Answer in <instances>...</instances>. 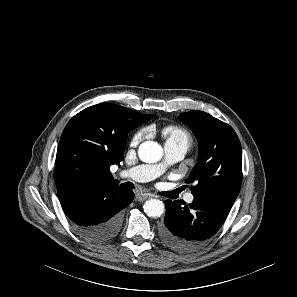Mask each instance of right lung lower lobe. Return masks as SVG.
I'll use <instances>...</instances> for the list:
<instances>
[{
  "instance_id": "1",
  "label": "right lung lower lobe",
  "mask_w": 297,
  "mask_h": 297,
  "mask_svg": "<svg viewBox=\"0 0 297 297\" xmlns=\"http://www.w3.org/2000/svg\"><path fill=\"white\" fill-rule=\"evenodd\" d=\"M134 199L130 189L110 182H84L60 197L65 214L86 239L106 242L120 231L122 210Z\"/></svg>"
}]
</instances>
